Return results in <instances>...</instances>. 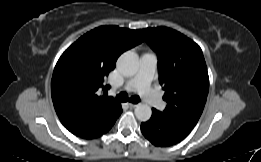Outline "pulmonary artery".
Returning <instances> with one entry per match:
<instances>
[{
    "label": "pulmonary artery",
    "mask_w": 261,
    "mask_h": 162,
    "mask_svg": "<svg viewBox=\"0 0 261 162\" xmlns=\"http://www.w3.org/2000/svg\"><path fill=\"white\" fill-rule=\"evenodd\" d=\"M158 57L154 52L148 51L141 56L140 66L134 77L129 79L124 86L128 91H137L154 108L163 110L165 102L151 87L154 78Z\"/></svg>",
    "instance_id": "pulmonary-artery-1"
}]
</instances>
